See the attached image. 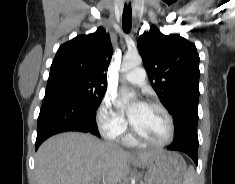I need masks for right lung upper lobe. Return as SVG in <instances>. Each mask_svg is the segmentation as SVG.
I'll list each match as a JSON object with an SVG mask.
<instances>
[{
	"label": "right lung upper lobe",
	"mask_w": 235,
	"mask_h": 184,
	"mask_svg": "<svg viewBox=\"0 0 235 184\" xmlns=\"http://www.w3.org/2000/svg\"><path fill=\"white\" fill-rule=\"evenodd\" d=\"M113 53L110 36L99 27L62 44L51 65L47 89L59 88L66 79L106 86L105 71Z\"/></svg>",
	"instance_id": "obj_1"
}]
</instances>
